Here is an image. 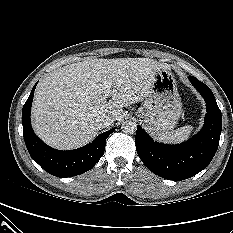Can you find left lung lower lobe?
Returning <instances> with one entry per match:
<instances>
[{
    "label": "left lung lower lobe",
    "instance_id": "left-lung-lower-lobe-1",
    "mask_svg": "<svg viewBox=\"0 0 233 233\" xmlns=\"http://www.w3.org/2000/svg\"><path fill=\"white\" fill-rule=\"evenodd\" d=\"M192 85L206 102L202 130L178 145L158 143L138 125L135 136L137 153L146 167L160 177L181 181L205 169L214 157L222 130L221 111L210 88L194 76Z\"/></svg>",
    "mask_w": 233,
    "mask_h": 233
}]
</instances>
